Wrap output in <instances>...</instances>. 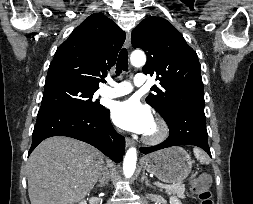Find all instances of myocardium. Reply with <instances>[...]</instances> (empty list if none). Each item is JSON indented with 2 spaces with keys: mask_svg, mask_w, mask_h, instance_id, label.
<instances>
[{
  "mask_svg": "<svg viewBox=\"0 0 253 204\" xmlns=\"http://www.w3.org/2000/svg\"><path fill=\"white\" fill-rule=\"evenodd\" d=\"M157 128V132L154 135L145 134L142 138L143 142L147 145H158L164 142L169 135V127L162 118H155L153 120Z\"/></svg>",
  "mask_w": 253,
  "mask_h": 204,
  "instance_id": "f54148a6",
  "label": "myocardium"
}]
</instances>
